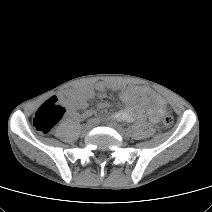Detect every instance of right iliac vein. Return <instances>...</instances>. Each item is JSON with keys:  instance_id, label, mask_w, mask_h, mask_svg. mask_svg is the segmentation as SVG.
<instances>
[{"instance_id": "63e3f726", "label": "right iliac vein", "mask_w": 212, "mask_h": 212, "mask_svg": "<svg viewBox=\"0 0 212 212\" xmlns=\"http://www.w3.org/2000/svg\"><path fill=\"white\" fill-rule=\"evenodd\" d=\"M91 129L90 124L83 125L81 127V134L85 135Z\"/></svg>"}]
</instances>
